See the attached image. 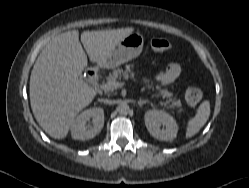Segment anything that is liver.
I'll use <instances>...</instances> for the list:
<instances>
[{
	"label": "liver",
	"instance_id": "obj_1",
	"mask_svg": "<svg viewBox=\"0 0 249 188\" xmlns=\"http://www.w3.org/2000/svg\"><path fill=\"white\" fill-rule=\"evenodd\" d=\"M134 28L84 31L81 42L92 63H99ZM78 30L53 38L38 56L30 77V103L43 130L55 139L65 138L75 116L87 105L96 90L80 75L87 66V55Z\"/></svg>",
	"mask_w": 249,
	"mask_h": 188
}]
</instances>
